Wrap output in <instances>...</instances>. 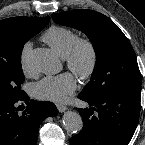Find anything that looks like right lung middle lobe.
<instances>
[{"label":"right lung middle lobe","mask_w":145,"mask_h":145,"mask_svg":"<svg viewBox=\"0 0 145 145\" xmlns=\"http://www.w3.org/2000/svg\"><path fill=\"white\" fill-rule=\"evenodd\" d=\"M48 21H39L22 27L10 39L15 48V54L7 59L0 60V99H18L25 94L21 90L24 75L21 66V53L24 44L39 33Z\"/></svg>","instance_id":"dd1d6c3e"}]
</instances>
